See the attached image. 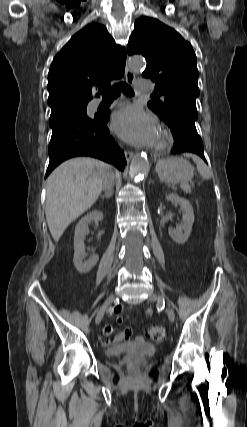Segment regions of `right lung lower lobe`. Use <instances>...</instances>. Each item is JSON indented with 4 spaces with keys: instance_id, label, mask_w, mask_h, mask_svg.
Returning <instances> with one entry per match:
<instances>
[{
    "instance_id": "1",
    "label": "right lung lower lobe",
    "mask_w": 247,
    "mask_h": 427,
    "mask_svg": "<svg viewBox=\"0 0 247 427\" xmlns=\"http://www.w3.org/2000/svg\"><path fill=\"white\" fill-rule=\"evenodd\" d=\"M110 113L88 117L86 112L57 110L51 112L47 177L64 160L77 156H91L123 170L126 159L123 151L110 136L106 126Z\"/></svg>"
}]
</instances>
